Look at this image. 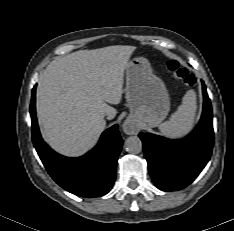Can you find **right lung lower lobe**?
Masks as SVG:
<instances>
[{
    "label": "right lung lower lobe",
    "instance_id": "obj_1",
    "mask_svg": "<svg viewBox=\"0 0 234 231\" xmlns=\"http://www.w3.org/2000/svg\"><path fill=\"white\" fill-rule=\"evenodd\" d=\"M36 86L32 90L30 114L32 138L42 163L54 181L65 190L82 197L107 194L116 177V164L122 147L118 125L103 132L97 146L79 158H67L50 149L42 140L35 110Z\"/></svg>",
    "mask_w": 234,
    "mask_h": 231
}]
</instances>
